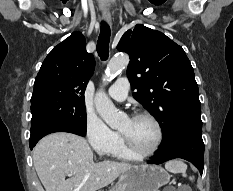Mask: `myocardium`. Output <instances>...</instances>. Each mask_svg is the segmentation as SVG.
<instances>
[{
  "instance_id": "myocardium-1",
  "label": "myocardium",
  "mask_w": 233,
  "mask_h": 191,
  "mask_svg": "<svg viewBox=\"0 0 233 191\" xmlns=\"http://www.w3.org/2000/svg\"><path fill=\"white\" fill-rule=\"evenodd\" d=\"M130 119H132V120L147 119V120L151 121L157 130V140H156L154 147L150 151L143 152V151L139 150L133 144V142L128 138V136H126L124 133L120 132L125 146L127 147V149L130 152H132L133 154H135L136 156H138L140 158H146V157H150V156L154 155L158 151L159 147L161 146L162 140H163V129H162L160 122L157 120V118H155L153 115H151L149 113H138V114H135L134 116H132Z\"/></svg>"
}]
</instances>
